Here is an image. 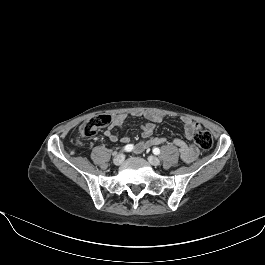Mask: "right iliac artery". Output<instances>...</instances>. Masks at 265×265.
Returning a JSON list of instances; mask_svg holds the SVG:
<instances>
[{"label":"right iliac artery","mask_w":265,"mask_h":265,"mask_svg":"<svg viewBox=\"0 0 265 265\" xmlns=\"http://www.w3.org/2000/svg\"><path fill=\"white\" fill-rule=\"evenodd\" d=\"M133 148H134V146H133L132 144H128V145H126V146L124 147V151H126V152H130V151L133 150Z\"/></svg>","instance_id":"1"}]
</instances>
